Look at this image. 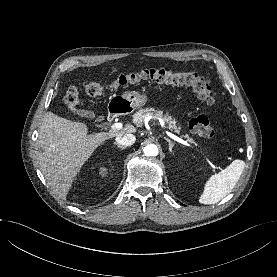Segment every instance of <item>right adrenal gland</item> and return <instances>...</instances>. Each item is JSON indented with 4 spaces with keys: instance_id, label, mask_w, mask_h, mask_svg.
Listing matches in <instances>:
<instances>
[{
    "instance_id": "obj_1",
    "label": "right adrenal gland",
    "mask_w": 277,
    "mask_h": 277,
    "mask_svg": "<svg viewBox=\"0 0 277 277\" xmlns=\"http://www.w3.org/2000/svg\"><path fill=\"white\" fill-rule=\"evenodd\" d=\"M114 145H116L118 148H120L121 150L125 149L126 147L125 146H121L119 144H117L116 142L114 143Z\"/></svg>"
}]
</instances>
